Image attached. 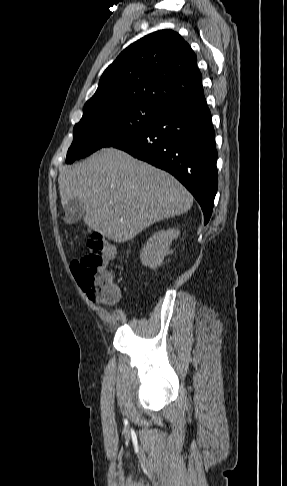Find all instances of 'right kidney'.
Instances as JSON below:
<instances>
[{"mask_svg": "<svg viewBox=\"0 0 287 486\" xmlns=\"http://www.w3.org/2000/svg\"><path fill=\"white\" fill-rule=\"evenodd\" d=\"M179 235V230H161L148 239L140 254L142 265L151 269L159 266L169 252L170 245Z\"/></svg>", "mask_w": 287, "mask_h": 486, "instance_id": "obj_1", "label": "right kidney"}]
</instances>
